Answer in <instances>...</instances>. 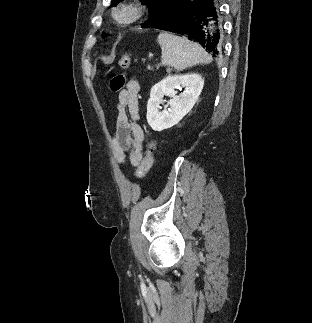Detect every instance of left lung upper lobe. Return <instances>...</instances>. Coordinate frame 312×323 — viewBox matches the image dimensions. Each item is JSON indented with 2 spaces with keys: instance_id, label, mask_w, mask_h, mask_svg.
<instances>
[{
  "instance_id": "5c2ea615",
  "label": "left lung upper lobe",
  "mask_w": 312,
  "mask_h": 323,
  "mask_svg": "<svg viewBox=\"0 0 312 323\" xmlns=\"http://www.w3.org/2000/svg\"><path fill=\"white\" fill-rule=\"evenodd\" d=\"M122 0H112V6H116ZM149 7V18L142 23V28H156L170 13L171 5L175 0H140Z\"/></svg>"
}]
</instances>
